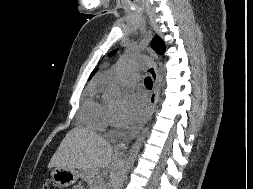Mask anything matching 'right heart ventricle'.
Here are the masks:
<instances>
[{"instance_id":"1","label":"right heart ventricle","mask_w":253,"mask_h":189,"mask_svg":"<svg viewBox=\"0 0 253 189\" xmlns=\"http://www.w3.org/2000/svg\"><path fill=\"white\" fill-rule=\"evenodd\" d=\"M100 88L93 87L83 103L79 119L92 130H103L108 125L109 109L100 100Z\"/></svg>"}]
</instances>
